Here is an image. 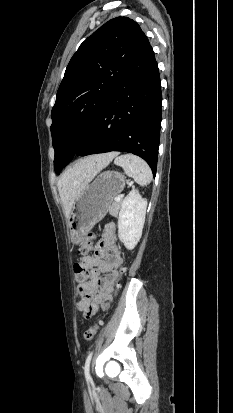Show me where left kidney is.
I'll use <instances>...</instances> for the list:
<instances>
[{"instance_id":"5707ae66","label":"left kidney","mask_w":233,"mask_h":413,"mask_svg":"<svg viewBox=\"0 0 233 413\" xmlns=\"http://www.w3.org/2000/svg\"><path fill=\"white\" fill-rule=\"evenodd\" d=\"M147 200L138 190H132L124 199L118 217V236L128 250L139 242L145 222Z\"/></svg>"}]
</instances>
